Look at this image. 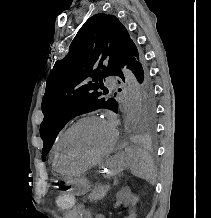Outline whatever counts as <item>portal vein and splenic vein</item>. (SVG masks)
<instances>
[{
    "mask_svg": "<svg viewBox=\"0 0 211 218\" xmlns=\"http://www.w3.org/2000/svg\"><path fill=\"white\" fill-rule=\"evenodd\" d=\"M108 188H112V185H108ZM108 188L106 189L107 191L109 190Z\"/></svg>",
    "mask_w": 211,
    "mask_h": 218,
    "instance_id": "portal-vein-and-splenic-vein-1",
    "label": "portal vein and splenic vein"
}]
</instances>
